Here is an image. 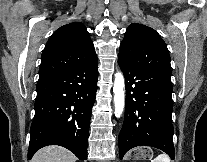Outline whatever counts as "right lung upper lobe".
Returning <instances> with one entry per match:
<instances>
[{
	"mask_svg": "<svg viewBox=\"0 0 207 162\" xmlns=\"http://www.w3.org/2000/svg\"><path fill=\"white\" fill-rule=\"evenodd\" d=\"M96 59L93 42L84 24L70 23L60 27L49 38L42 53L39 78Z\"/></svg>",
	"mask_w": 207,
	"mask_h": 162,
	"instance_id": "obj_1",
	"label": "right lung upper lobe"
}]
</instances>
